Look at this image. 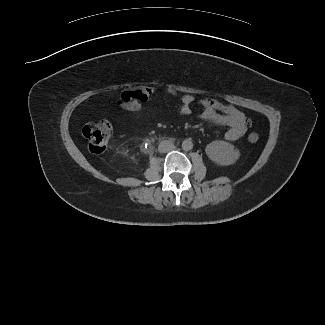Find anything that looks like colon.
I'll list each match as a JSON object with an SVG mask.
<instances>
[{
    "mask_svg": "<svg viewBox=\"0 0 325 325\" xmlns=\"http://www.w3.org/2000/svg\"><path fill=\"white\" fill-rule=\"evenodd\" d=\"M125 108L136 113L149 110L148 105L140 103H130ZM111 133V124L106 120L88 123L82 129V134L88 141L89 149L94 153L103 152L107 148ZM258 140L259 135L257 133H250L248 135L249 142L255 143Z\"/></svg>",
    "mask_w": 325,
    "mask_h": 325,
    "instance_id": "colon-1",
    "label": "colon"
}]
</instances>
